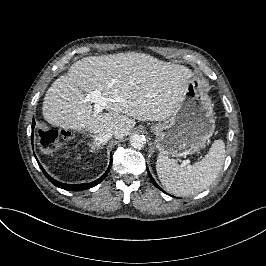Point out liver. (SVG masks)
I'll return each mask as SVG.
<instances>
[{"label":"liver","instance_id":"liver-1","mask_svg":"<svg viewBox=\"0 0 266 266\" xmlns=\"http://www.w3.org/2000/svg\"><path fill=\"white\" fill-rule=\"evenodd\" d=\"M193 80L188 68L143 53L86 57L74 63L68 75L53 81L43 99L42 115L53 127L90 133L109 130L115 139H124L135 120L170 118ZM95 90L109 100L101 112L94 103L79 102Z\"/></svg>","mask_w":266,"mask_h":266}]
</instances>
